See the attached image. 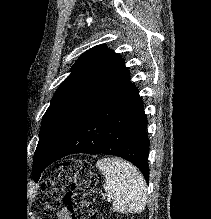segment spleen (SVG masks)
I'll use <instances>...</instances> for the list:
<instances>
[{
	"label": "spleen",
	"instance_id": "1",
	"mask_svg": "<svg viewBox=\"0 0 211 219\" xmlns=\"http://www.w3.org/2000/svg\"><path fill=\"white\" fill-rule=\"evenodd\" d=\"M97 168L105 177L104 190L113 196V212L140 213L146 206L147 191L143 176L127 161L103 158Z\"/></svg>",
	"mask_w": 211,
	"mask_h": 219
}]
</instances>
